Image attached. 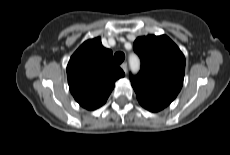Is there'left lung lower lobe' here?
I'll return each instance as SVG.
<instances>
[{"label":"left lung lower lobe","instance_id":"obj_1","mask_svg":"<svg viewBox=\"0 0 230 155\" xmlns=\"http://www.w3.org/2000/svg\"><path fill=\"white\" fill-rule=\"evenodd\" d=\"M141 106H143L145 109L151 111V112H158L163 109V107L151 104V103H146V102H139Z\"/></svg>","mask_w":230,"mask_h":155}]
</instances>
